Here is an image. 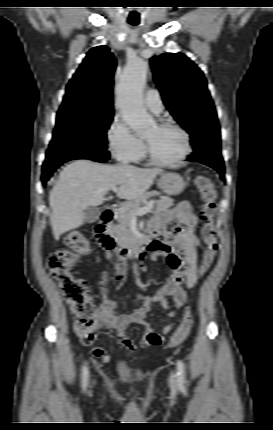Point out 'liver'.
Wrapping results in <instances>:
<instances>
[{
	"mask_svg": "<svg viewBox=\"0 0 273 430\" xmlns=\"http://www.w3.org/2000/svg\"><path fill=\"white\" fill-rule=\"evenodd\" d=\"M162 172L158 168L106 165L86 159L66 165L49 198L55 240L80 227L85 221L84 210L101 205L112 187L120 186L117 191L119 198L134 201L152 186L156 176Z\"/></svg>",
	"mask_w": 273,
	"mask_h": 430,
	"instance_id": "liver-1",
	"label": "liver"
}]
</instances>
